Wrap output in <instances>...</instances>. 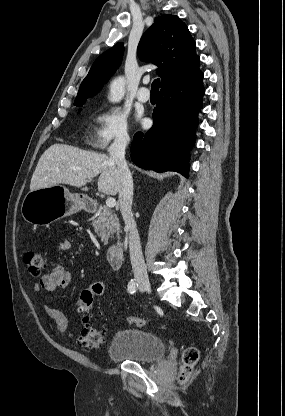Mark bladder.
<instances>
[{
	"instance_id": "1",
	"label": "bladder",
	"mask_w": 285,
	"mask_h": 416,
	"mask_svg": "<svg viewBox=\"0 0 285 416\" xmlns=\"http://www.w3.org/2000/svg\"><path fill=\"white\" fill-rule=\"evenodd\" d=\"M165 354V340L141 328L118 330L109 346L108 355L115 360L148 363Z\"/></svg>"
}]
</instances>
